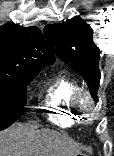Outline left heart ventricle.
<instances>
[{
    "instance_id": "obj_1",
    "label": "left heart ventricle",
    "mask_w": 114,
    "mask_h": 156,
    "mask_svg": "<svg viewBox=\"0 0 114 156\" xmlns=\"http://www.w3.org/2000/svg\"><path fill=\"white\" fill-rule=\"evenodd\" d=\"M84 104L86 105V104H87V102H86V101H84Z\"/></svg>"
}]
</instances>
